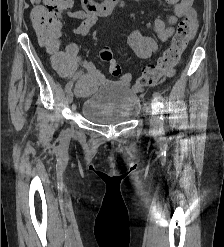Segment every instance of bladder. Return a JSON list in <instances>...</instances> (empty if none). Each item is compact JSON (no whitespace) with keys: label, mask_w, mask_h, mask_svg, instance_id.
Wrapping results in <instances>:
<instances>
[{"label":"bladder","mask_w":224,"mask_h":247,"mask_svg":"<svg viewBox=\"0 0 224 247\" xmlns=\"http://www.w3.org/2000/svg\"><path fill=\"white\" fill-rule=\"evenodd\" d=\"M138 102L137 95L129 87L106 83L84 99L81 114L96 125L122 124L136 115Z\"/></svg>","instance_id":"bladder-1"}]
</instances>
